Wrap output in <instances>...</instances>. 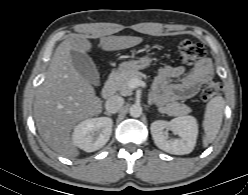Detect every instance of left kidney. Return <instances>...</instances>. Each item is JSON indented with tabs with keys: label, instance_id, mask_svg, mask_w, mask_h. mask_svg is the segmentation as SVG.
<instances>
[{
	"label": "left kidney",
	"instance_id": "left-kidney-1",
	"mask_svg": "<svg viewBox=\"0 0 248 195\" xmlns=\"http://www.w3.org/2000/svg\"><path fill=\"white\" fill-rule=\"evenodd\" d=\"M154 143L161 150L175 155L189 154L195 147L198 135L197 120L193 116H181L171 121L156 120L151 124ZM166 130H171L177 139H169Z\"/></svg>",
	"mask_w": 248,
	"mask_h": 195
}]
</instances>
